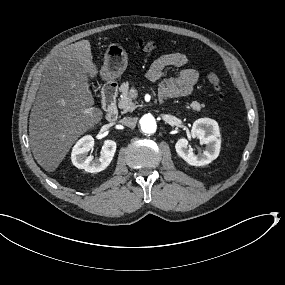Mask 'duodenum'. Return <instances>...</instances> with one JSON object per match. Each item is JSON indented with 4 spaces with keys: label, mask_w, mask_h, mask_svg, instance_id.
Segmentation results:
<instances>
[{
    "label": "duodenum",
    "mask_w": 285,
    "mask_h": 285,
    "mask_svg": "<svg viewBox=\"0 0 285 285\" xmlns=\"http://www.w3.org/2000/svg\"><path fill=\"white\" fill-rule=\"evenodd\" d=\"M118 86L116 83H108L102 90V104L105 109L106 119L110 122L118 118V108L116 105Z\"/></svg>",
    "instance_id": "410a0bca"
}]
</instances>
